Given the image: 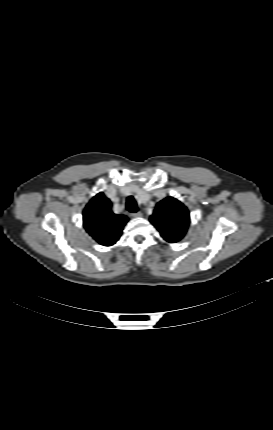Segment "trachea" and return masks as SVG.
I'll use <instances>...</instances> for the list:
<instances>
[{
  "label": "trachea",
  "mask_w": 273,
  "mask_h": 430,
  "mask_svg": "<svg viewBox=\"0 0 273 430\" xmlns=\"http://www.w3.org/2000/svg\"><path fill=\"white\" fill-rule=\"evenodd\" d=\"M126 205H127V209L130 211V212H132V213H136L137 212V203H136V201H135V199H134V197L133 196H129L128 198H127V202H126Z\"/></svg>",
  "instance_id": "1"
}]
</instances>
